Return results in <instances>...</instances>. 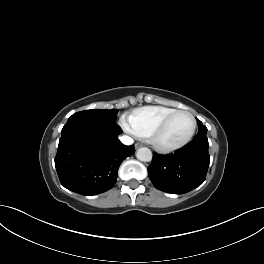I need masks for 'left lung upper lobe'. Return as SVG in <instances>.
<instances>
[{"mask_svg": "<svg viewBox=\"0 0 264 264\" xmlns=\"http://www.w3.org/2000/svg\"><path fill=\"white\" fill-rule=\"evenodd\" d=\"M197 121H198V129H199L198 134H206L207 133L206 126L202 125V122L199 119H197Z\"/></svg>", "mask_w": 264, "mask_h": 264, "instance_id": "1", "label": "left lung upper lobe"}]
</instances>
